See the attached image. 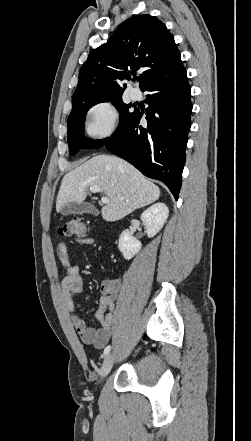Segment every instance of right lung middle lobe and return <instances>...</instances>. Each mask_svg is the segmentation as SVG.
Instances as JSON below:
<instances>
[{"mask_svg":"<svg viewBox=\"0 0 251 441\" xmlns=\"http://www.w3.org/2000/svg\"><path fill=\"white\" fill-rule=\"evenodd\" d=\"M117 108L120 114V122L117 130L114 132L116 134L121 130L128 120L133 115V112L129 111L131 107L130 104H125L122 101V96H113L107 98H82L79 100H74L72 104V111L68 117V135L67 141L69 145L70 155H75L80 149H95L104 146V144L110 138H105L102 140H92L84 137L83 131L85 126V116L87 111L95 104L101 102H109ZM113 134V135H114Z\"/></svg>","mask_w":251,"mask_h":441,"instance_id":"1","label":"right lung middle lobe"}]
</instances>
